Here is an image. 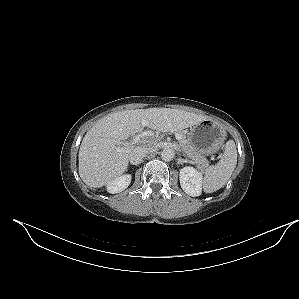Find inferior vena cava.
I'll list each match as a JSON object with an SVG mask.
<instances>
[{
    "label": "inferior vena cava",
    "instance_id": "obj_1",
    "mask_svg": "<svg viewBox=\"0 0 299 299\" xmlns=\"http://www.w3.org/2000/svg\"><path fill=\"white\" fill-rule=\"evenodd\" d=\"M151 147H142L138 146L132 149V151L129 154V161L133 165H138L142 163L144 157L146 154H148L151 151Z\"/></svg>",
    "mask_w": 299,
    "mask_h": 299
}]
</instances>
